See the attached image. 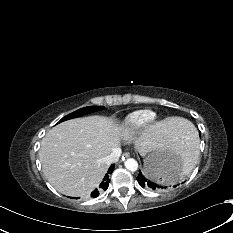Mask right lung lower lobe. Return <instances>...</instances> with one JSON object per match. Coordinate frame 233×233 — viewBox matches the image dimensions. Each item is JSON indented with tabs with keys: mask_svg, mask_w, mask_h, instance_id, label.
<instances>
[{
	"mask_svg": "<svg viewBox=\"0 0 233 233\" xmlns=\"http://www.w3.org/2000/svg\"><path fill=\"white\" fill-rule=\"evenodd\" d=\"M114 164H112L110 166V168L108 169V173L105 175V177L103 178V180L101 181L100 185L98 186V188H96L92 193H91V197H97L99 196V194L102 191H106L109 185V174H111L114 170Z\"/></svg>",
	"mask_w": 233,
	"mask_h": 233,
	"instance_id": "1",
	"label": "right lung lower lobe"
}]
</instances>
